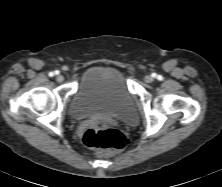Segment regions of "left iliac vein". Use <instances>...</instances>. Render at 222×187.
<instances>
[{"label":"left iliac vein","mask_w":222,"mask_h":187,"mask_svg":"<svg viewBox=\"0 0 222 187\" xmlns=\"http://www.w3.org/2000/svg\"><path fill=\"white\" fill-rule=\"evenodd\" d=\"M144 80H145L146 83H152L154 79L151 75H146L144 77Z\"/></svg>","instance_id":"1"}]
</instances>
